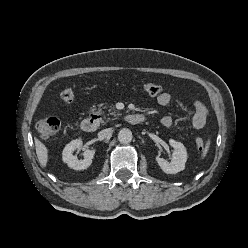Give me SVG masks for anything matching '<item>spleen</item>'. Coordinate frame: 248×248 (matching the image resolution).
Masks as SVG:
<instances>
[{
    "instance_id": "spleen-1",
    "label": "spleen",
    "mask_w": 248,
    "mask_h": 248,
    "mask_svg": "<svg viewBox=\"0 0 248 248\" xmlns=\"http://www.w3.org/2000/svg\"><path fill=\"white\" fill-rule=\"evenodd\" d=\"M208 149H209V142L207 143V145H206V147H205V149H204V151L202 153V158H204L206 156V154L208 152Z\"/></svg>"
}]
</instances>
